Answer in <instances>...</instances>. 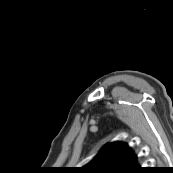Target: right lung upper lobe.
Segmentation results:
<instances>
[{
	"label": "right lung upper lobe",
	"instance_id": "cb5924a9",
	"mask_svg": "<svg viewBox=\"0 0 173 173\" xmlns=\"http://www.w3.org/2000/svg\"><path fill=\"white\" fill-rule=\"evenodd\" d=\"M136 165V156L128 145L114 142L102 148L80 171L83 173H128Z\"/></svg>",
	"mask_w": 173,
	"mask_h": 173
}]
</instances>
